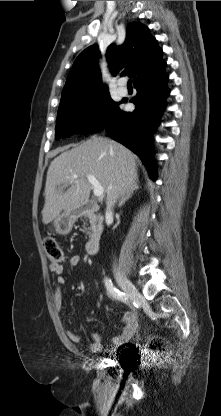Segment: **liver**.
Here are the masks:
<instances>
[{
	"instance_id": "1",
	"label": "liver",
	"mask_w": 221,
	"mask_h": 416,
	"mask_svg": "<svg viewBox=\"0 0 221 416\" xmlns=\"http://www.w3.org/2000/svg\"><path fill=\"white\" fill-rule=\"evenodd\" d=\"M136 155L113 140L93 136L63 151L51 162L45 185L42 222L49 224L62 210H74L84 205L91 185L86 176L94 175L107 195V200L123 199L137 185ZM77 175L76 179L72 176ZM71 185L67 191L63 187ZM120 203V202H119Z\"/></svg>"
}]
</instances>
